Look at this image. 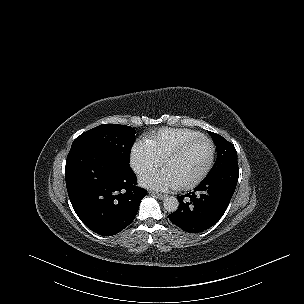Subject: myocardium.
Segmentation results:
<instances>
[{
  "instance_id": "1",
  "label": "myocardium",
  "mask_w": 304,
  "mask_h": 304,
  "mask_svg": "<svg viewBox=\"0 0 304 304\" xmlns=\"http://www.w3.org/2000/svg\"><path fill=\"white\" fill-rule=\"evenodd\" d=\"M200 142H207L209 144V147H210L209 157H208L204 167L193 179H191L188 182L178 183V186L180 188L193 187V186L197 185L208 174V172L210 171V169L212 167V164L214 161V155H215V145H214L213 141L207 136H199L197 138H194V139L184 143L183 145L179 146L178 148H176L166 159H164V161L162 163V168L164 170H167L170 162H172L175 158H177L179 155H181L187 149H189L190 147H192Z\"/></svg>"
}]
</instances>
